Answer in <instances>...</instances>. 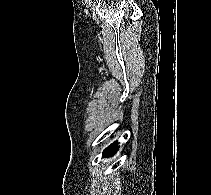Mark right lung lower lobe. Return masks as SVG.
Masks as SVG:
<instances>
[{
    "mask_svg": "<svg viewBox=\"0 0 211 195\" xmlns=\"http://www.w3.org/2000/svg\"><path fill=\"white\" fill-rule=\"evenodd\" d=\"M117 149H118V141H115L105 149V151L103 152V157L113 156L116 153Z\"/></svg>",
    "mask_w": 211,
    "mask_h": 195,
    "instance_id": "right-lung-lower-lobe-1",
    "label": "right lung lower lobe"
}]
</instances>
